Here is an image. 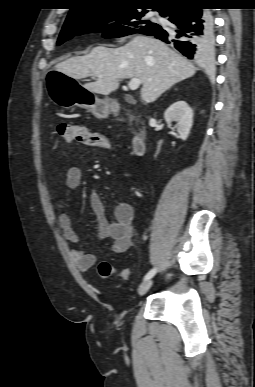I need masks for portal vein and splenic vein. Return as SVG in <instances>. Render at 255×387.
<instances>
[{
	"label": "portal vein and splenic vein",
	"instance_id": "1",
	"mask_svg": "<svg viewBox=\"0 0 255 387\" xmlns=\"http://www.w3.org/2000/svg\"><path fill=\"white\" fill-rule=\"evenodd\" d=\"M140 84L141 80L139 78H132L128 82V87L130 88V90L134 91L139 88Z\"/></svg>",
	"mask_w": 255,
	"mask_h": 387
}]
</instances>
